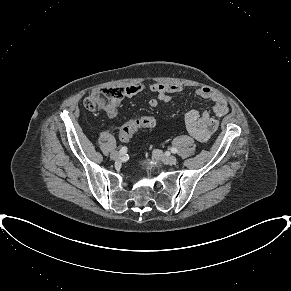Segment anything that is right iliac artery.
<instances>
[{
  "instance_id": "82829eb1",
  "label": "right iliac artery",
  "mask_w": 291,
  "mask_h": 291,
  "mask_svg": "<svg viewBox=\"0 0 291 291\" xmlns=\"http://www.w3.org/2000/svg\"><path fill=\"white\" fill-rule=\"evenodd\" d=\"M126 152H127V147L126 146L121 147V149L119 150L120 154H125Z\"/></svg>"
}]
</instances>
